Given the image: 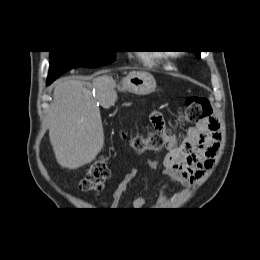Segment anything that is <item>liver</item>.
I'll return each mask as SVG.
<instances>
[{"mask_svg": "<svg viewBox=\"0 0 260 260\" xmlns=\"http://www.w3.org/2000/svg\"><path fill=\"white\" fill-rule=\"evenodd\" d=\"M134 74L140 72H132ZM96 89V96L92 89ZM115 82L101 75L92 80L60 79L49 111V138L57 162L70 170L91 163L104 145L97 100L114 101Z\"/></svg>", "mask_w": 260, "mask_h": 260, "instance_id": "1", "label": "liver"}]
</instances>
